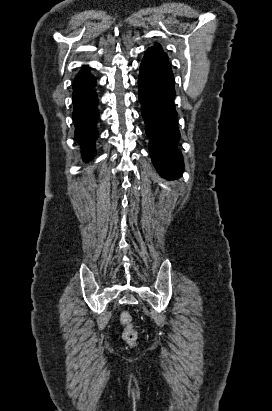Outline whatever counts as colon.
I'll return each instance as SVG.
<instances>
[{
	"mask_svg": "<svg viewBox=\"0 0 272 411\" xmlns=\"http://www.w3.org/2000/svg\"><path fill=\"white\" fill-rule=\"evenodd\" d=\"M120 322L124 327L122 338L131 347L135 346L138 340V332L132 325V317L128 312L120 315Z\"/></svg>",
	"mask_w": 272,
	"mask_h": 411,
	"instance_id": "obj_1",
	"label": "colon"
}]
</instances>
